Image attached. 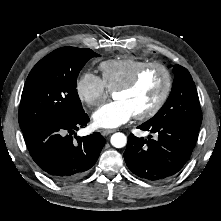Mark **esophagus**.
Listing matches in <instances>:
<instances>
[{
  "label": "esophagus",
  "mask_w": 221,
  "mask_h": 221,
  "mask_svg": "<svg viewBox=\"0 0 221 221\" xmlns=\"http://www.w3.org/2000/svg\"><path fill=\"white\" fill-rule=\"evenodd\" d=\"M116 130H114V129H103L102 131H101V134L102 135H104V136H106V135H109V134H111V133H114Z\"/></svg>",
  "instance_id": "1"
}]
</instances>
